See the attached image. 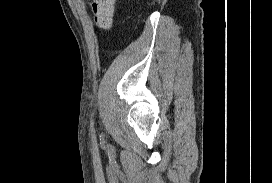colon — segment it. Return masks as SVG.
Instances as JSON below:
<instances>
[{
    "mask_svg": "<svg viewBox=\"0 0 272 183\" xmlns=\"http://www.w3.org/2000/svg\"><path fill=\"white\" fill-rule=\"evenodd\" d=\"M116 0H94L93 13L98 26L108 29L111 26Z\"/></svg>",
    "mask_w": 272,
    "mask_h": 183,
    "instance_id": "1",
    "label": "colon"
}]
</instances>
